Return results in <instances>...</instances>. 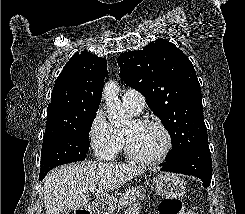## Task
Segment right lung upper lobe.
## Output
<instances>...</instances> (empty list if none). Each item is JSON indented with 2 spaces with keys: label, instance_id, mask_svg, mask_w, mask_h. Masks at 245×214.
<instances>
[{
  "label": "right lung upper lobe",
  "instance_id": "1",
  "mask_svg": "<svg viewBox=\"0 0 245 214\" xmlns=\"http://www.w3.org/2000/svg\"><path fill=\"white\" fill-rule=\"evenodd\" d=\"M106 74V59L87 51L74 54L53 87L45 134L73 127L85 114L97 111Z\"/></svg>",
  "mask_w": 245,
  "mask_h": 214
}]
</instances>
